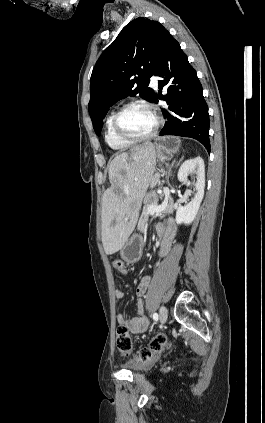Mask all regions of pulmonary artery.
<instances>
[{
	"label": "pulmonary artery",
	"mask_w": 265,
	"mask_h": 423,
	"mask_svg": "<svg viewBox=\"0 0 265 423\" xmlns=\"http://www.w3.org/2000/svg\"><path fill=\"white\" fill-rule=\"evenodd\" d=\"M157 78H153L152 79V81H151V86L153 87V88H157Z\"/></svg>",
	"instance_id": "e3ab8cb5"
}]
</instances>
